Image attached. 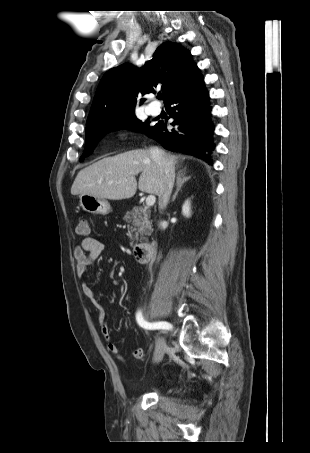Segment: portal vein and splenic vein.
<instances>
[{
  "mask_svg": "<svg viewBox=\"0 0 310 453\" xmlns=\"http://www.w3.org/2000/svg\"><path fill=\"white\" fill-rule=\"evenodd\" d=\"M155 201H156V198L154 195H149L147 198H146V206L147 207H151L155 204Z\"/></svg>",
  "mask_w": 310,
  "mask_h": 453,
  "instance_id": "portal-vein-and-splenic-vein-1",
  "label": "portal vein and splenic vein"
}]
</instances>
